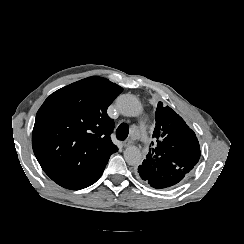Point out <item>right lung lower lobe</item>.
I'll list each match as a JSON object with an SVG mask.
<instances>
[{
  "label": "right lung lower lobe",
  "instance_id": "98d812e1",
  "mask_svg": "<svg viewBox=\"0 0 244 244\" xmlns=\"http://www.w3.org/2000/svg\"><path fill=\"white\" fill-rule=\"evenodd\" d=\"M109 157H106L102 162H98V164L92 162L90 165L93 168L87 173H73L68 176L56 179L54 181L62 187L73 190H79L88 187L94 182H96L102 175L104 168L109 160Z\"/></svg>",
  "mask_w": 244,
  "mask_h": 244
}]
</instances>
